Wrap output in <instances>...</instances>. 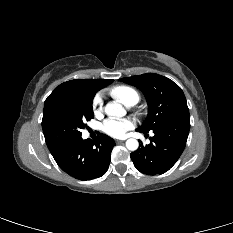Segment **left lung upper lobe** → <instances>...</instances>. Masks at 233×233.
I'll return each mask as SVG.
<instances>
[{
	"instance_id": "obj_1",
	"label": "left lung upper lobe",
	"mask_w": 233,
	"mask_h": 233,
	"mask_svg": "<svg viewBox=\"0 0 233 233\" xmlns=\"http://www.w3.org/2000/svg\"><path fill=\"white\" fill-rule=\"evenodd\" d=\"M121 81L140 89L148 103V115L137 129L149 132L162 125L190 119L182 89L172 80L154 73L122 78Z\"/></svg>"
}]
</instances>
